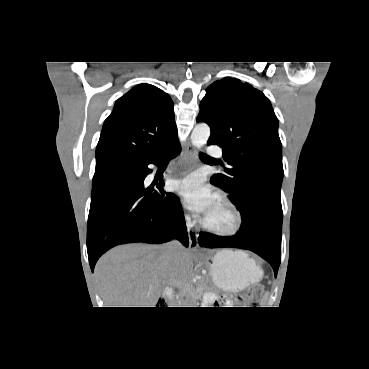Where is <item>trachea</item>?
Listing matches in <instances>:
<instances>
[{"instance_id":"trachea-1","label":"trachea","mask_w":369,"mask_h":369,"mask_svg":"<svg viewBox=\"0 0 369 369\" xmlns=\"http://www.w3.org/2000/svg\"><path fill=\"white\" fill-rule=\"evenodd\" d=\"M200 157L201 158H209V156H207L206 154H204V153H200Z\"/></svg>"}]
</instances>
